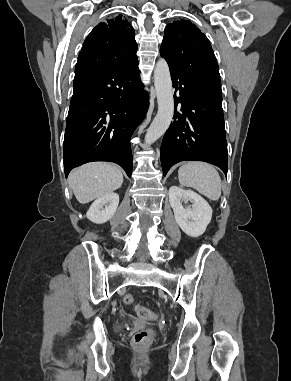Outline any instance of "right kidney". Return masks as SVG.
I'll return each mask as SVG.
<instances>
[{"label": "right kidney", "instance_id": "right-kidney-1", "mask_svg": "<svg viewBox=\"0 0 291 381\" xmlns=\"http://www.w3.org/2000/svg\"><path fill=\"white\" fill-rule=\"evenodd\" d=\"M119 196L116 193H109L104 196L97 198L89 210L87 211V218L96 223L103 224L110 220L118 207Z\"/></svg>", "mask_w": 291, "mask_h": 381}]
</instances>
